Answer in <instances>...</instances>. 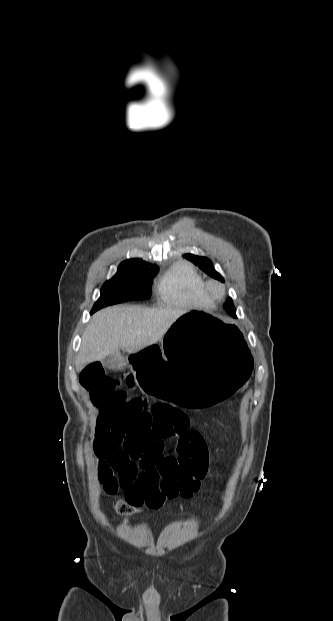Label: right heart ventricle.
Masks as SVG:
<instances>
[{
  "instance_id": "obj_1",
  "label": "right heart ventricle",
  "mask_w": 333,
  "mask_h": 621,
  "mask_svg": "<svg viewBox=\"0 0 333 621\" xmlns=\"http://www.w3.org/2000/svg\"><path fill=\"white\" fill-rule=\"evenodd\" d=\"M206 281L189 263L173 264L160 278L157 295L166 304L180 307L211 308L214 302L205 289Z\"/></svg>"
}]
</instances>
